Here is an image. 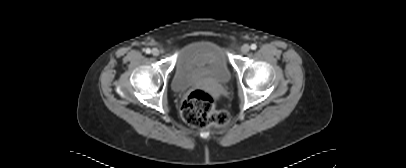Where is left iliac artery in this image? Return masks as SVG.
Wrapping results in <instances>:
<instances>
[{"mask_svg":"<svg viewBox=\"0 0 406 168\" xmlns=\"http://www.w3.org/2000/svg\"><path fill=\"white\" fill-rule=\"evenodd\" d=\"M257 48V45L256 44H251V49L252 50H255Z\"/></svg>","mask_w":406,"mask_h":168,"instance_id":"obj_1","label":"left iliac artery"}]
</instances>
